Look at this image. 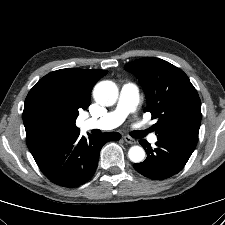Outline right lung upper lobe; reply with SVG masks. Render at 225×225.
Here are the masks:
<instances>
[{
  "mask_svg": "<svg viewBox=\"0 0 225 225\" xmlns=\"http://www.w3.org/2000/svg\"><path fill=\"white\" fill-rule=\"evenodd\" d=\"M106 74V70L66 68L41 78L24 103L27 145L46 136L79 131L78 110L87 108L91 88Z\"/></svg>",
  "mask_w": 225,
  "mask_h": 225,
  "instance_id": "1",
  "label": "right lung upper lobe"
}]
</instances>
